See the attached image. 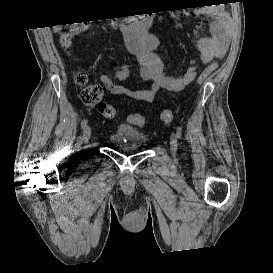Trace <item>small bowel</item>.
<instances>
[{"instance_id": "obj_1", "label": "small bowel", "mask_w": 273, "mask_h": 273, "mask_svg": "<svg viewBox=\"0 0 273 273\" xmlns=\"http://www.w3.org/2000/svg\"><path fill=\"white\" fill-rule=\"evenodd\" d=\"M194 15L204 16L209 23L211 35L203 36L197 33V56L190 60L185 72L176 75L169 71L163 60L154 53L161 44L156 36L141 40L137 33L128 34L127 47L129 51L141 60L142 77L151 81L146 89L131 90L119 83L127 77V67H113L112 74L115 80L108 76H101L100 81L108 93L125 96L142 102H152L160 89L178 92L189 85L196 77V68L200 62L208 63L221 59L227 52L232 30V20L221 6H210L193 11Z\"/></svg>"}]
</instances>
